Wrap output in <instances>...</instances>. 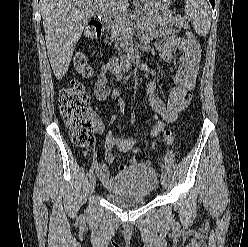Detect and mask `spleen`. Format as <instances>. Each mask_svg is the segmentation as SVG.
I'll return each instance as SVG.
<instances>
[{
  "mask_svg": "<svg viewBox=\"0 0 248 247\" xmlns=\"http://www.w3.org/2000/svg\"><path fill=\"white\" fill-rule=\"evenodd\" d=\"M185 14L191 18L195 32L201 36L208 34L211 17L210 6L205 0H185Z\"/></svg>",
  "mask_w": 248,
  "mask_h": 247,
  "instance_id": "obj_1",
  "label": "spleen"
}]
</instances>
